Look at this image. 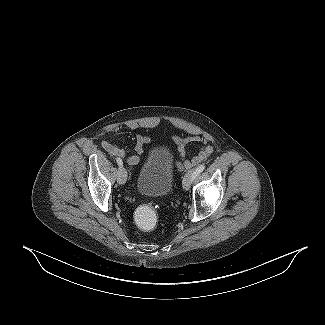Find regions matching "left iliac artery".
Listing matches in <instances>:
<instances>
[{"instance_id": "44dca946", "label": "left iliac artery", "mask_w": 325, "mask_h": 325, "mask_svg": "<svg viewBox=\"0 0 325 325\" xmlns=\"http://www.w3.org/2000/svg\"><path fill=\"white\" fill-rule=\"evenodd\" d=\"M205 169V164H201L194 171L193 180Z\"/></svg>"}]
</instances>
